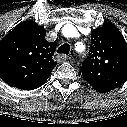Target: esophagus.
Instances as JSON below:
<instances>
[{
  "mask_svg": "<svg viewBox=\"0 0 127 127\" xmlns=\"http://www.w3.org/2000/svg\"><path fill=\"white\" fill-rule=\"evenodd\" d=\"M56 59H57L58 62H65V61H67L69 58H68V56H66V55L59 54V55H57Z\"/></svg>",
  "mask_w": 127,
  "mask_h": 127,
  "instance_id": "1",
  "label": "esophagus"
}]
</instances>
